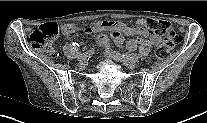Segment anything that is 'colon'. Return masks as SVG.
Here are the masks:
<instances>
[{"mask_svg":"<svg viewBox=\"0 0 207 123\" xmlns=\"http://www.w3.org/2000/svg\"><path fill=\"white\" fill-rule=\"evenodd\" d=\"M139 27H144L152 32L164 37L162 45L154 52V61H163L167 58L169 51L178 43V36L170 24L165 20L146 18L137 21ZM81 25L78 23H67L62 27V31L67 36H75ZM60 27L56 23H46L30 34V43L35 48L53 51L52 42L58 36Z\"/></svg>","mask_w":207,"mask_h":123,"instance_id":"obj_1","label":"colon"}]
</instances>
